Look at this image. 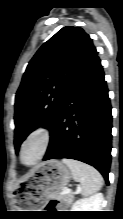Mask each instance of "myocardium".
<instances>
[{
  "mask_svg": "<svg viewBox=\"0 0 123 219\" xmlns=\"http://www.w3.org/2000/svg\"><path fill=\"white\" fill-rule=\"evenodd\" d=\"M50 140H51V134H50V131L47 127L42 126V125L34 127L27 134V136L24 138V140L21 143L20 151H19L20 161L24 165H27V166H33V165L37 164L45 156V154L48 150L49 144H50ZM34 141L37 142L39 145V154L33 162L26 163L23 160L24 149L30 142H34Z\"/></svg>",
  "mask_w": 123,
  "mask_h": 219,
  "instance_id": "f54148a6",
  "label": "myocardium"
}]
</instances>
